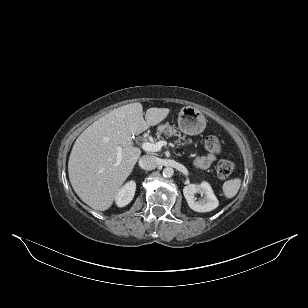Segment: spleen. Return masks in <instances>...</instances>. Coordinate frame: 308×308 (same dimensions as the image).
Returning <instances> with one entry per match:
<instances>
[{"instance_id": "obj_1", "label": "spleen", "mask_w": 308, "mask_h": 308, "mask_svg": "<svg viewBox=\"0 0 308 308\" xmlns=\"http://www.w3.org/2000/svg\"><path fill=\"white\" fill-rule=\"evenodd\" d=\"M241 186V180L239 178L225 181L222 190L226 198H233L239 191Z\"/></svg>"}]
</instances>
